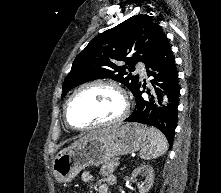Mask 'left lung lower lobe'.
Wrapping results in <instances>:
<instances>
[{"instance_id": "obj_1", "label": "left lung lower lobe", "mask_w": 221, "mask_h": 193, "mask_svg": "<svg viewBox=\"0 0 221 193\" xmlns=\"http://www.w3.org/2000/svg\"><path fill=\"white\" fill-rule=\"evenodd\" d=\"M147 75L152 76L150 81L152 90L148 89V97H142L141 83L133 91L136 106L132 114L125 120L154 126L161 130L170 146L173 144L174 132L177 126V108L179 97L178 71L175 58L168 43H164L160 51L146 63ZM151 91V92H150ZM168 97L167 106L162 105L161 96Z\"/></svg>"}]
</instances>
